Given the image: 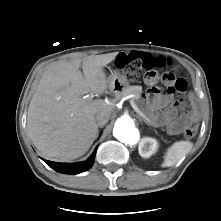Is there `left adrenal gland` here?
Masks as SVG:
<instances>
[{"mask_svg":"<svg viewBox=\"0 0 221 221\" xmlns=\"http://www.w3.org/2000/svg\"><path fill=\"white\" fill-rule=\"evenodd\" d=\"M140 121H144L142 118H139ZM146 124H148L146 121H144Z\"/></svg>","mask_w":221,"mask_h":221,"instance_id":"a2214340","label":"left adrenal gland"}]
</instances>
